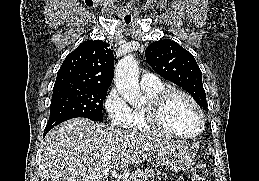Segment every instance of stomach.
Returning <instances> with one entry per match:
<instances>
[{"label": "stomach", "mask_w": 259, "mask_h": 181, "mask_svg": "<svg viewBox=\"0 0 259 181\" xmlns=\"http://www.w3.org/2000/svg\"><path fill=\"white\" fill-rule=\"evenodd\" d=\"M195 160V153L178 142H173L164 150L159 151L156 156L159 165L175 172L190 168Z\"/></svg>", "instance_id": "obj_1"}]
</instances>
